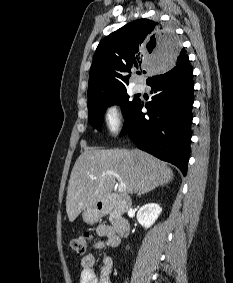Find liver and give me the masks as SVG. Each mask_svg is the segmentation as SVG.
Listing matches in <instances>:
<instances>
[{"label":"liver","instance_id":"obj_1","mask_svg":"<svg viewBox=\"0 0 233 283\" xmlns=\"http://www.w3.org/2000/svg\"><path fill=\"white\" fill-rule=\"evenodd\" d=\"M107 171L120 176L126 194L150 191L173 179V172L165 162L137 148H87L76 160L68 183L66 211L69 221L73 222L83 210L109 197L116 177L102 176Z\"/></svg>","mask_w":233,"mask_h":283}]
</instances>
